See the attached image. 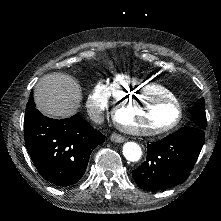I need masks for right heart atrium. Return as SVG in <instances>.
Here are the masks:
<instances>
[{"label":"right heart atrium","mask_w":221,"mask_h":221,"mask_svg":"<svg viewBox=\"0 0 221 221\" xmlns=\"http://www.w3.org/2000/svg\"><path fill=\"white\" fill-rule=\"evenodd\" d=\"M91 90L89 99L92 105L104 107L112 100L108 80L97 82Z\"/></svg>","instance_id":"d8ad5b80"}]
</instances>
